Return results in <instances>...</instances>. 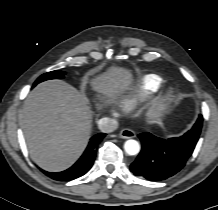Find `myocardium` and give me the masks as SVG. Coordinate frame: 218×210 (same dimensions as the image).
<instances>
[{"instance_id": "1", "label": "myocardium", "mask_w": 218, "mask_h": 210, "mask_svg": "<svg viewBox=\"0 0 218 210\" xmlns=\"http://www.w3.org/2000/svg\"><path fill=\"white\" fill-rule=\"evenodd\" d=\"M175 98V90L168 88L162 95L160 102L152 109L150 117L152 119H158L162 113L167 110L172 104Z\"/></svg>"}]
</instances>
